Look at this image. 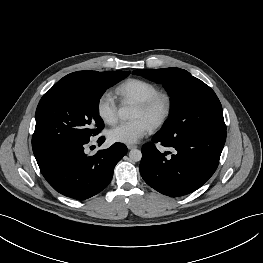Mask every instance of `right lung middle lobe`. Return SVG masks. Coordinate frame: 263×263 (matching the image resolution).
Here are the masks:
<instances>
[{"label":"right lung middle lobe","mask_w":263,"mask_h":263,"mask_svg":"<svg viewBox=\"0 0 263 263\" xmlns=\"http://www.w3.org/2000/svg\"><path fill=\"white\" fill-rule=\"evenodd\" d=\"M129 74L130 71H93L78 82L55 84L36 109L34 155L58 144L89 140L99 134L104 126L99 117V100L106 89Z\"/></svg>","instance_id":"1"}]
</instances>
